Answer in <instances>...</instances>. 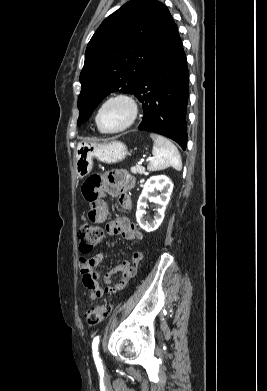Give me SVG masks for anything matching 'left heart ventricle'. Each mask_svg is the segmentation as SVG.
Wrapping results in <instances>:
<instances>
[{
    "label": "left heart ventricle",
    "mask_w": 267,
    "mask_h": 391,
    "mask_svg": "<svg viewBox=\"0 0 267 391\" xmlns=\"http://www.w3.org/2000/svg\"><path fill=\"white\" fill-rule=\"evenodd\" d=\"M130 115L129 107L122 101L107 104L100 114V124L105 130H115L122 127Z\"/></svg>",
    "instance_id": "obj_1"
}]
</instances>
